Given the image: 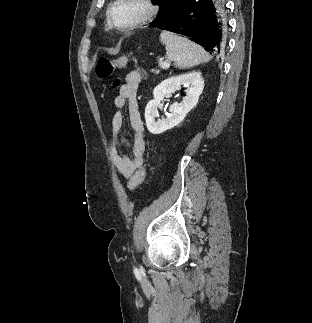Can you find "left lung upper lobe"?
Returning a JSON list of instances; mask_svg holds the SVG:
<instances>
[{
	"instance_id": "obj_1",
	"label": "left lung upper lobe",
	"mask_w": 312,
	"mask_h": 323,
	"mask_svg": "<svg viewBox=\"0 0 312 323\" xmlns=\"http://www.w3.org/2000/svg\"><path fill=\"white\" fill-rule=\"evenodd\" d=\"M153 4L160 6L157 18L152 22L154 26H160L164 21H166L169 15L172 13L173 5L177 0H151Z\"/></svg>"
}]
</instances>
